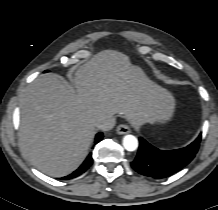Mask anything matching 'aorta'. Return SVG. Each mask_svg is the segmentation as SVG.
Listing matches in <instances>:
<instances>
[{
  "instance_id": "obj_1",
  "label": "aorta",
  "mask_w": 218,
  "mask_h": 210,
  "mask_svg": "<svg viewBox=\"0 0 218 210\" xmlns=\"http://www.w3.org/2000/svg\"><path fill=\"white\" fill-rule=\"evenodd\" d=\"M123 146L127 151H135L138 148V140L133 135H126L123 138Z\"/></svg>"
}]
</instances>
